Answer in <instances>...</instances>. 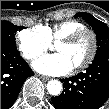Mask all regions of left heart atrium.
I'll return each instance as SVG.
<instances>
[{
    "instance_id": "obj_1",
    "label": "left heart atrium",
    "mask_w": 109,
    "mask_h": 109,
    "mask_svg": "<svg viewBox=\"0 0 109 109\" xmlns=\"http://www.w3.org/2000/svg\"><path fill=\"white\" fill-rule=\"evenodd\" d=\"M33 67L46 75L60 76L73 68L68 59L61 53L44 55L33 63Z\"/></svg>"
}]
</instances>
